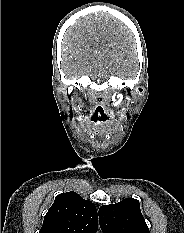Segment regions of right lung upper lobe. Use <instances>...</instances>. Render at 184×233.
<instances>
[{
  "instance_id": "obj_1",
  "label": "right lung upper lobe",
  "mask_w": 184,
  "mask_h": 233,
  "mask_svg": "<svg viewBox=\"0 0 184 233\" xmlns=\"http://www.w3.org/2000/svg\"><path fill=\"white\" fill-rule=\"evenodd\" d=\"M97 226L95 205L75 192H67L56 196L39 233H96Z\"/></svg>"
}]
</instances>
